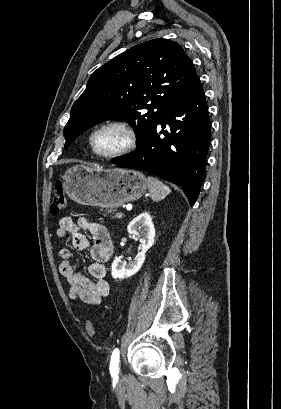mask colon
<instances>
[{
	"label": "colon",
	"instance_id": "colon-1",
	"mask_svg": "<svg viewBox=\"0 0 281 409\" xmlns=\"http://www.w3.org/2000/svg\"><path fill=\"white\" fill-rule=\"evenodd\" d=\"M67 205L65 193L63 186L61 184H56L54 188V203H53V212L55 214L60 213L61 211L65 210ZM85 327L88 329V334L89 335H94L96 332V327L91 323L87 322L85 324Z\"/></svg>",
	"mask_w": 281,
	"mask_h": 409
}]
</instances>
